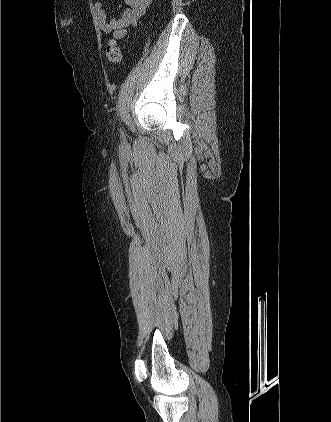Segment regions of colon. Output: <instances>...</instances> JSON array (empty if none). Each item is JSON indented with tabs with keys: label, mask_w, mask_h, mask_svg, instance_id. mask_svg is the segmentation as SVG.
<instances>
[{
	"label": "colon",
	"mask_w": 331,
	"mask_h": 422,
	"mask_svg": "<svg viewBox=\"0 0 331 422\" xmlns=\"http://www.w3.org/2000/svg\"><path fill=\"white\" fill-rule=\"evenodd\" d=\"M106 58L108 62L113 66H117L121 62V48L118 42L114 39H110L107 43Z\"/></svg>",
	"instance_id": "5ec220e1"
}]
</instances>
